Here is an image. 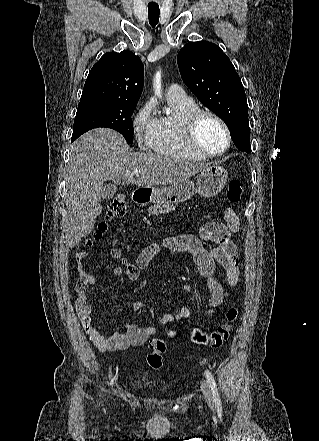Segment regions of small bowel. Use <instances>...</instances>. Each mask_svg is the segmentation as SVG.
<instances>
[{
  "label": "small bowel",
  "mask_w": 319,
  "mask_h": 441,
  "mask_svg": "<svg viewBox=\"0 0 319 441\" xmlns=\"http://www.w3.org/2000/svg\"><path fill=\"white\" fill-rule=\"evenodd\" d=\"M224 223L210 222L201 227L199 236L193 234H182L170 237L163 242V246L173 251L186 252L191 254L199 273L205 278L210 291V308L208 313L212 314L219 310L222 303L230 296L219 281L216 269L219 266L224 274L225 280L230 287L237 285L239 281V256L235 243L231 236L238 232L240 222L237 214L232 208H227L224 213ZM213 242L216 246L207 249L204 242ZM160 245L154 244L144 250L133 264L123 258L118 251L111 256L121 259L122 266L114 270V274L122 275L130 281H135L141 270L145 269L154 255L159 252ZM85 254H77V272L79 275L76 284L77 297L75 300L76 315L91 342L101 350L116 351L125 350L130 346L143 345L150 336L157 332L154 326L140 327L134 324H127L125 331L114 332L110 336H104L97 328L92 318V306L88 302L86 292L89 288L98 286L97 277L86 272L82 266ZM182 288L191 292V284H184ZM135 310L148 309L142 302L134 303ZM192 311L181 307L175 314H165L159 318L161 323H172L190 319Z\"/></svg>",
  "instance_id": "small-bowel-1"
}]
</instances>
